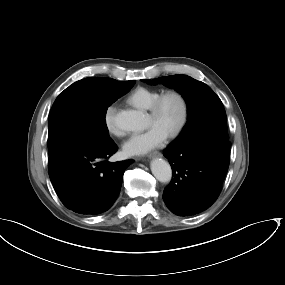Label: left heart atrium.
<instances>
[{
  "mask_svg": "<svg viewBox=\"0 0 285 285\" xmlns=\"http://www.w3.org/2000/svg\"><path fill=\"white\" fill-rule=\"evenodd\" d=\"M167 134L157 125H152L143 133H135L124 143L123 149L129 156L143 155L159 147Z\"/></svg>",
  "mask_w": 285,
  "mask_h": 285,
  "instance_id": "obj_1",
  "label": "left heart atrium"
}]
</instances>
